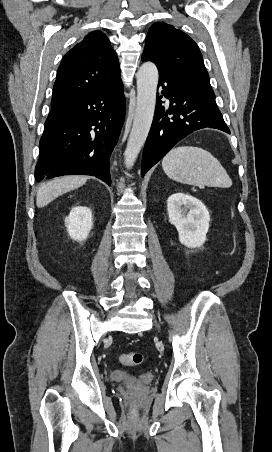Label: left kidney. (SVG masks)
<instances>
[{
    "label": "left kidney",
    "instance_id": "1",
    "mask_svg": "<svg viewBox=\"0 0 272 452\" xmlns=\"http://www.w3.org/2000/svg\"><path fill=\"white\" fill-rule=\"evenodd\" d=\"M169 222L179 234V241L188 248L201 247L206 241L210 215L197 198L184 193H174L167 200Z\"/></svg>",
    "mask_w": 272,
    "mask_h": 452
}]
</instances>
